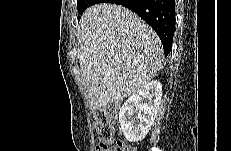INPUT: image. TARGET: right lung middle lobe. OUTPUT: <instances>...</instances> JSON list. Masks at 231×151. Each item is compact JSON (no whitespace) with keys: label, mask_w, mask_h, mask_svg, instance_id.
<instances>
[{"label":"right lung middle lobe","mask_w":231,"mask_h":151,"mask_svg":"<svg viewBox=\"0 0 231 151\" xmlns=\"http://www.w3.org/2000/svg\"><path fill=\"white\" fill-rule=\"evenodd\" d=\"M91 0H77V9L79 14L81 15L87 7H90L92 4H90ZM80 19V16H78V20Z\"/></svg>","instance_id":"right-lung-middle-lobe-1"}]
</instances>
